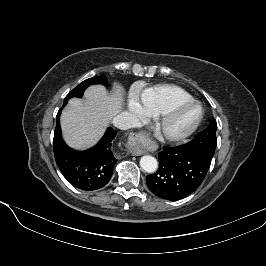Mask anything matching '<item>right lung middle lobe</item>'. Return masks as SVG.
Wrapping results in <instances>:
<instances>
[{
  "label": "right lung middle lobe",
  "instance_id": "obj_1",
  "mask_svg": "<svg viewBox=\"0 0 266 266\" xmlns=\"http://www.w3.org/2000/svg\"><path fill=\"white\" fill-rule=\"evenodd\" d=\"M106 78L102 76H96L94 78H89L81 82L77 87H75L64 99V104H67L69 98L71 97H82L85 89L92 84H106Z\"/></svg>",
  "mask_w": 266,
  "mask_h": 266
}]
</instances>
